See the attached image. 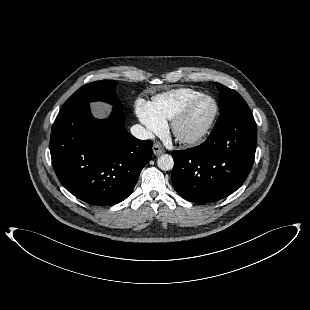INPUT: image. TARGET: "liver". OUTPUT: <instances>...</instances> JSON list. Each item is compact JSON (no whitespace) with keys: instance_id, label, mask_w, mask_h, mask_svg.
<instances>
[{"instance_id":"obj_1","label":"liver","mask_w":310,"mask_h":310,"mask_svg":"<svg viewBox=\"0 0 310 310\" xmlns=\"http://www.w3.org/2000/svg\"><path fill=\"white\" fill-rule=\"evenodd\" d=\"M94 108L96 110V113L99 117H104L105 116V110L100 104H94Z\"/></svg>"}]
</instances>
